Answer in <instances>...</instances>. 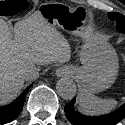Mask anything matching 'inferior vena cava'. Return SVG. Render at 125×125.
<instances>
[{
  "instance_id": "1",
  "label": "inferior vena cava",
  "mask_w": 125,
  "mask_h": 125,
  "mask_svg": "<svg viewBox=\"0 0 125 125\" xmlns=\"http://www.w3.org/2000/svg\"><path fill=\"white\" fill-rule=\"evenodd\" d=\"M38 75H39L38 70L30 69L23 74L22 78L26 81H30L36 79Z\"/></svg>"
}]
</instances>
